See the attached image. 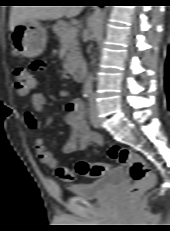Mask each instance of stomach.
Listing matches in <instances>:
<instances>
[{
	"label": "stomach",
	"mask_w": 170,
	"mask_h": 231,
	"mask_svg": "<svg viewBox=\"0 0 170 231\" xmlns=\"http://www.w3.org/2000/svg\"><path fill=\"white\" fill-rule=\"evenodd\" d=\"M47 33L37 21L18 24L12 31L14 49L22 56L34 58L46 47Z\"/></svg>",
	"instance_id": "stomach-1"
}]
</instances>
